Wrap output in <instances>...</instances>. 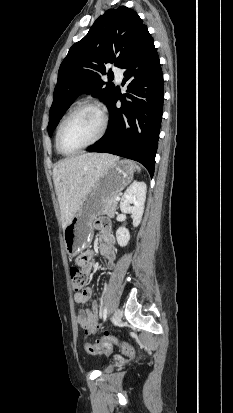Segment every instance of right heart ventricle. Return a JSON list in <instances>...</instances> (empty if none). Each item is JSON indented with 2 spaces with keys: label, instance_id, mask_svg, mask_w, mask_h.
<instances>
[{
  "label": "right heart ventricle",
  "instance_id": "e07e8e85",
  "mask_svg": "<svg viewBox=\"0 0 233 413\" xmlns=\"http://www.w3.org/2000/svg\"><path fill=\"white\" fill-rule=\"evenodd\" d=\"M64 118H65V117H64ZM64 118H63V119H64ZM63 119H62V120H63ZM62 120L60 121L59 126H60ZM59 126H58V128H59ZM57 130H58V129H57ZM56 135H57V133H56ZM56 148H57V145H56ZM57 150H58V148H57ZM58 151H59V150H58Z\"/></svg>",
  "mask_w": 233,
  "mask_h": 413
}]
</instances>
